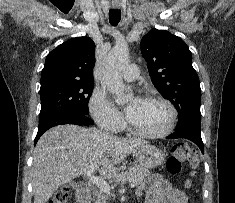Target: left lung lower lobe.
Instances as JSON below:
<instances>
[{
	"mask_svg": "<svg viewBox=\"0 0 235 203\" xmlns=\"http://www.w3.org/2000/svg\"><path fill=\"white\" fill-rule=\"evenodd\" d=\"M168 139H178L185 138L192 142H194L204 153V146L200 134V125L194 123H185L183 125H179L176 129V132L169 135Z\"/></svg>",
	"mask_w": 235,
	"mask_h": 203,
	"instance_id": "obj_1",
	"label": "left lung lower lobe"
}]
</instances>
